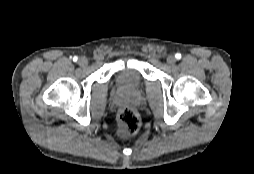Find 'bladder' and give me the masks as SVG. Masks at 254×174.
Returning a JSON list of instances; mask_svg holds the SVG:
<instances>
[{
	"instance_id": "bladder-1",
	"label": "bladder",
	"mask_w": 254,
	"mask_h": 174,
	"mask_svg": "<svg viewBox=\"0 0 254 174\" xmlns=\"http://www.w3.org/2000/svg\"><path fill=\"white\" fill-rule=\"evenodd\" d=\"M117 84L124 90H133L140 84V75L133 68H125L118 75Z\"/></svg>"
}]
</instances>
